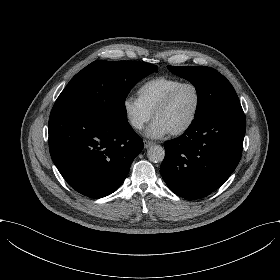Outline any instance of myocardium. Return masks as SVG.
<instances>
[{"instance_id": "obj_1", "label": "myocardium", "mask_w": 280, "mask_h": 280, "mask_svg": "<svg viewBox=\"0 0 280 280\" xmlns=\"http://www.w3.org/2000/svg\"><path fill=\"white\" fill-rule=\"evenodd\" d=\"M187 85H191L195 88L196 93H197V105H196V109L195 112L192 116V118L183 126L175 129L172 131V133L174 135H180L183 134L185 132H187L188 130H190L195 123L197 122L199 115L201 113V109H202V105H203V92L202 89L200 87V85L194 81H182L181 83H179L175 88H173L167 95L166 97L157 105V107L154 110L153 115L156 117V115L161 112L162 110H164L165 108H167L172 100L174 99V97L176 96V94L178 93V91L183 88L184 86Z\"/></svg>"}]
</instances>
